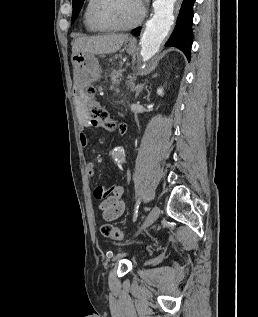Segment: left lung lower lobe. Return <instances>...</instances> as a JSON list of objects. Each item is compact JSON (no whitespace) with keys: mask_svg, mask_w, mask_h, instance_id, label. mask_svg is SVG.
<instances>
[{"mask_svg":"<svg viewBox=\"0 0 258 317\" xmlns=\"http://www.w3.org/2000/svg\"><path fill=\"white\" fill-rule=\"evenodd\" d=\"M195 0H184L178 15L175 29L165 44L166 47L172 46L180 49L190 61V52L192 45V21H193V5ZM134 35L140 34V28L133 31Z\"/></svg>","mask_w":258,"mask_h":317,"instance_id":"0a47b994","label":"left lung lower lobe"}]
</instances>
